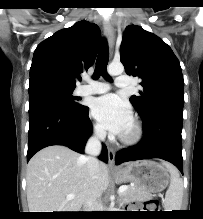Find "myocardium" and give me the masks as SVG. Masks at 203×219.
I'll list each match as a JSON object with an SVG mask.
<instances>
[{"instance_id": "1", "label": "myocardium", "mask_w": 203, "mask_h": 219, "mask_svg": "<svg viewBox=\"0 0 203 219\" xmlns=\"http://www.w3.org/2000/svg\"><path fill=\"white\" fill-rule=\"evenodd\" d=\"M143 136V129L137 120H133L130 125V130L126 134L119 136V141L125 146H134L138 144Z\"/></svg>"}]
</instances>
